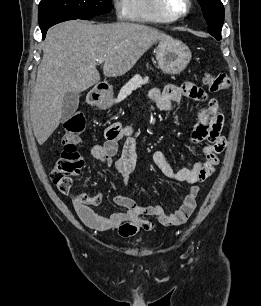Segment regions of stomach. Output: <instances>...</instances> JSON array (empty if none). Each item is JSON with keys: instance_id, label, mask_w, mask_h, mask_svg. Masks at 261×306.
<instances>
[{"instance_id": "obj_1", "label": "stomach", "mask_w": 261, "mask_h": 306, "mask_svg": "<svg viewBox=\"0 0 261 306\" xmlns=\"http://www.w3.org/2000/svg\"><path fill=\"white\" fill-rule=\"evenodd\" d=\"M156 60L158 67L166 74H180L191 60V51L181 41L177 39H167L159 41L156 48ZM112 94L102 95L96 101V105L101 109L109 108L113 105Z\"/></svg>"}]
</instances>
